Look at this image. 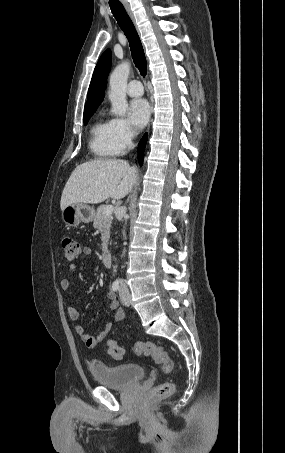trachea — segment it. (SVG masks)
Returning <instances> with one entry per match:
<instances>
[{"mask_svg": "<svg viewBox=\"0 0 285 453\" xmlns=\"http://www.w3.org/2000/svg\"><path fill=\"white\" fill-rule=\"evenodd\" d=\"M109 5L113 16L117 20L118 25L120 26L121 30L124 32L128 39L135 66L138 68L141 75L145 76L147 73V62L145 53L139 35L130 17L128 16L121 2L117 0H110Z\"/></svg>", "mask_w": 285, "mask_h": 453, "instance_id": "3493384b", "label": "trachea"}]
</instances>
